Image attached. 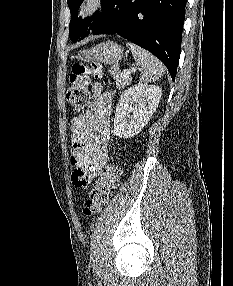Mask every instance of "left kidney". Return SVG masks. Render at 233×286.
<instances>
[{
  "instance_id": "1",
  "label": "left kidney",
  "mask_w": 233,
  "mask_h": 286,
  "mask_svg": "<svg viewBox=\"0 0 233 286\" xmlns=\"http://www.w3.org/2000/svg\"><path fill=\"white\" fill-rule=\"evenodd\" d=\"M161 95L159 86L141 83L125 90L116 108L114 134L120 138L137 135L152 117Z\"/></svg>"
}]
</instances>
